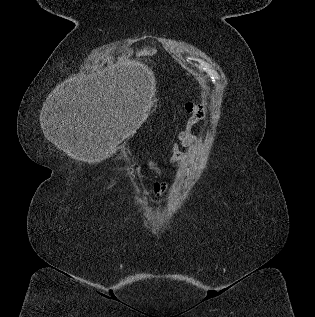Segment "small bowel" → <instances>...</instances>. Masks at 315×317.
<instances>
[{"mask_svg":"<svg viewBox=\"0 0 315 317\" xmlns=\"http://www.w3.org/2000/svg\"><path fill=\"white\" fill-rule=\"evenodd\" d=\"M185 110L191 114L185 129L181 130L178 135V142L171 145L172 155L168 158L167 163L173 165L175 170L180 169L186 161L185 154L180 150L179 145L190 146L198 142V137L192 133V127L203 118L205 109L201 105H193L188 103L185 105ZM148 167L160 178L164 177L163 169L152 160L147 161ZM168 182L166 180L155 181L152 184L153 193L155 196H162L167 190Z\"/></svg>","mask_w":315,"mask_h":317,"instance_id":"1","label":"small bowel"}]
</instances>
